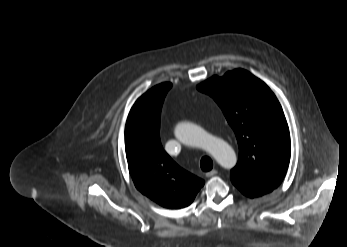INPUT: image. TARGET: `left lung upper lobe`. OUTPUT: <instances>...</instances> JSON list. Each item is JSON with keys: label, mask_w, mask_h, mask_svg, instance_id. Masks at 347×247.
I'll list each match as a JSON object with an SVG mask.
<instances>
[{"label": "left lung upper lobe", "mask_w": 347, "mask_h": 247, "mask_svg": "<svg viewBox=\"0 0 347 247\" xmlns=\"http://www.w3.org/2000/svg\"><path fill=\"white\" fill-rule=\"evenodd\" d=\"M222 109L235 132L239 160L232 183L265 190L277 188L290 162V133L282 107L270 88L246 70L213 76L197 86Z\"/></svg>", "instance_id": "1"}]
</instances>
